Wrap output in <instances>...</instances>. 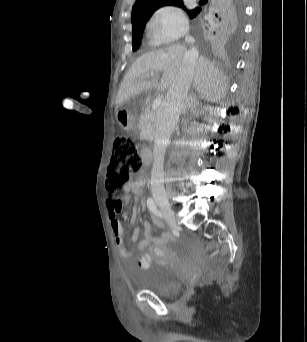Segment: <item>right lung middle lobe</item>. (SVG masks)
I'll return each mask as SVG.
<instances>
[{"label":"right lung middle lobe","mask_w":307,"mask_h":342,"mask_svg":"<svg viewBox=\"0 0 307 342\" xmlns=\"http://www.w3.org/2000/svg\"><path fill=\"white\" fill-rule=\"evenodd\" d=\"M142 33L133 36V51L137 50L141 43Z\"/></svg>","instance_id":"dd1d6c3e"}]
</instances>
